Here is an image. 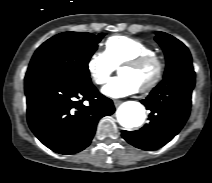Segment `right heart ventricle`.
Masks as SVG:
<instances>
[{
    "label": "right heart ventricle",
    "mask_w": 212,
    "mask_h": 183,
    "mask_svg": "<svg viewBox=\"0 0 212 183\" xmlns=\"http://www.w3.org/2000/svg\"><path fill=\"white\" fill-rule=\"evenodd\" d=\"M105 53L116 68L138 56L155 54L150 45L126 36L110 37L105 43Z\"/></svg>",
    "instance_id": "1"
}]
</instances>
